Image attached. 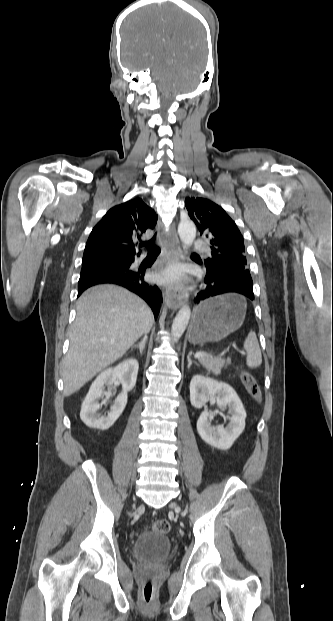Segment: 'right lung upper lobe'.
Wrapping results in <instances>:
<instances>
[{"label": "right lung upper lobe", "instance_id": "1", "mask_svg": "<svg viewBox=\"0 0 333 621\" xmlns=\"http://www.w3.org/2000/svg\"><path fill=\"white\" fill-rule=\"evenodd\" d=\"M157 219L154 209L140 198L114 206L90 233L83 259L134 257V247L145 246L138 240L155 227Z\"/></svg>", "mask_w": 333, "mask_h": 621}]
</instances>
